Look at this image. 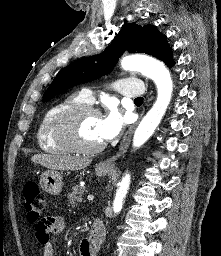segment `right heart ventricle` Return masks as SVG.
Returning a JSON list of instances; mask_svg holds the SVG:
<instances>
[{"instance_id":"1","label":"right heart ventricle","mask_w":221,"mask_h":256,"mask_svg":"<svg viewBox=\"0 0 221 256\" xmlns=\"http://www.w3.org/2000/svg\"><path fill=\"white\" fill-rule=\"evenodd\" d=\"M80 104H88V102L81 93H72L54 103L45 112L38 125L36 134L37 143L43 151L60 154L71 152L70 148L57 138L56 125L63 113Z\"/></svg>"}]
</instances>
